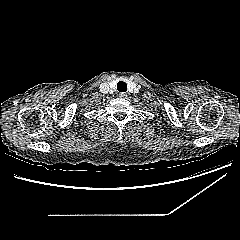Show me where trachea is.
I'll list each match as a JSON object with an SVG mask.
<instances>
[{"mask_svg":"<svg viewBox=\"0 0 240 240\" xmlns=\"http://www.w3.org/2000/svg\"><path fill=\"white\" fill-rule=\"evenodd\" d=\"M117 90L119 92H126L127 91V84L123 81L117 83Z\"/></svg>","mask_w":240,"mask_h":240,"instance_id":"trachea-1","label":"trachea"}]
</instances>
